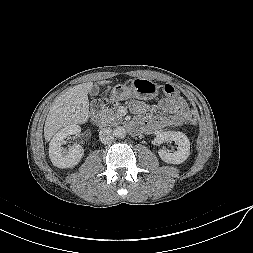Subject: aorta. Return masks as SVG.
<instances>
[{
  "instance_id": "obj_1",
  "label": "aorta",
  "mask_w": 253,
  "mask_h": 253,
  "mask_svg": "<svg viewBox=\"0 0 253 253\" xmlns=\"http://www.w3.org/2000/svg\"><path fill=\"white\" fill-rule=\"evenodd\" d=\"M113 134L116 138H124L126 136V130L122 126H118L114 129Z\"/></svg>"
}]
</instances>
